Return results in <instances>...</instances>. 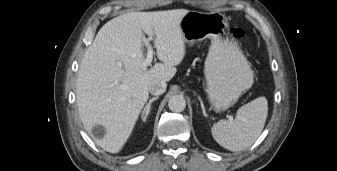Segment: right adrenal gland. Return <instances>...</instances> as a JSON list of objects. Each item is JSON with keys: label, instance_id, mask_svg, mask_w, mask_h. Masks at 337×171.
Segmentation results:
<instances>
[{"label": "right adrenal gland", "instance_id": "obj_1", "mask_svg": "<svg viewBox=\"0 0 337 171\" xmlns=\"http://www.w3.org/2000/svg\"><path fill=\"white\" fill-rule=\"evenodd\" d=\"M158 97H153L152 99L149 100L148 104L144 107L143 111H142V120L146 121L149 113H150V108H151V104L153 101L157 100Z\"/></svg>", "mask_w": 337, "mask_h": 171}]
</instances>
